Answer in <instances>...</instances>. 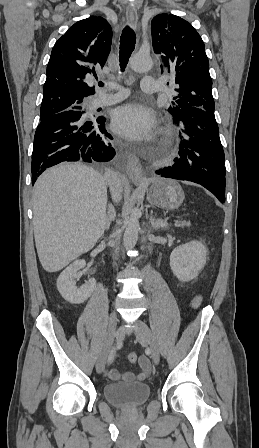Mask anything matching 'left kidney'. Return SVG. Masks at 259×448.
<instances>
[{
	"label": "left kidney",
	"mask_w": 259,
	"mask_h": 448,
	"mask_svg": "<svg viewBox=\"0 0 259 448\" xmlns=\"http://www.w3.org/2000/svg\"><path fill=\"white\" fill-rule=\"evenodd\" d=\"M207 250L201 242H188L177 246L170 256L171 270L180 282H191L197 278L206 264Z\"/></svg>",
	"instance_id": "1"
}]
</instances>
